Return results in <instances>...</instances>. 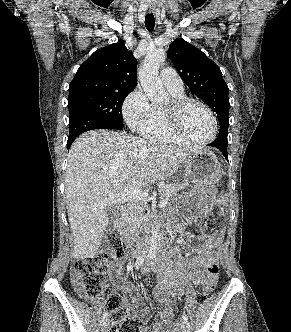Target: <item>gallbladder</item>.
I'll return each mask as SVG.
<instances>
[{"label": "gallbladder", "mask_w": 291, "mask_h": 332, "mask_svg": "<svg viewBox=\"0 0 291 332\" xmlns=\"http://www.w3.org/2000/svg\"><path fill=\"white\" fill-rule=\"evenodd\" d=\"M114 211L115 210H112L110 212L109 223H108L107 230H106L107 232H112L115 229V225H114V218H115Z\"/></svg>", "instance_id": "1"}]
</instances>
